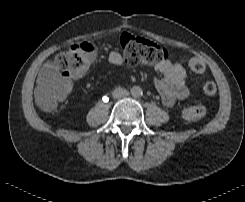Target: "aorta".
Masks as SVG:
<instances>
[{
	"instance_id": "762f6f07",
	"label": "aorta",
	"mask_w": 245,
	"mask_h": 202,
	"mask_svg": "<svg viewBox=\"0 0 245 202\" xmlns=\"http://www.w3.org/2000/svg\"><path fill=\"white\" fill-rule=\"evenodd\" d=\"M131 94H132V96H134V97H140V96H142V94H143V90H142V88L139 87V86H134V87H132V89H131Z\"/></svg>"
}]
</instances>
